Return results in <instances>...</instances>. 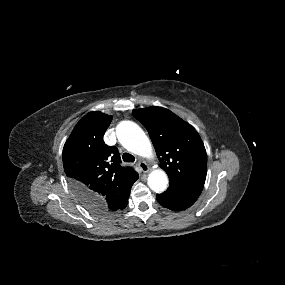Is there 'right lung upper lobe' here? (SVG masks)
Returning <instances> with one entry per match:
<instances>
[{
    "label": "right lung upper lobe",
    "mask_w": 285,
    "mask_h": 285,
    "mask_svg": "<svg viewBox=\"0 0 285 285\" xmlns=\"http://www.w3.org/2000/svg\"><path fill=\"white\" fill-rule=\"evenodd\" d=\"M112 117L92 111L82 117L63 149L69 183L83 205H94L107 215L122 204L139 175L122 167L118 149L103 140Z\"/></svg>",
    "instance_id": "1"
}]
</instances>
